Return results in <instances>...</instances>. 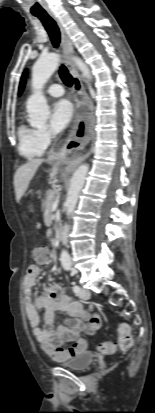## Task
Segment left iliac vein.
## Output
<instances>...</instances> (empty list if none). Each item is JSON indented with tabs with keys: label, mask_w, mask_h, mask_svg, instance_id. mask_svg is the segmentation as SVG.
Instances as JSON below:
<instances>
[{
	"label": "left iliac vein",
	"mask_w": 155,
	"mask_h": 413,
	"mask_svg": "<svg viewBox=\"0 0 155 413\" xmlns=\"http://www.w3.org/2000/svg\"><path fill=\"white\" fill-rule=\"evenodd\" d=\"M81 299L87 300L90 297V292L86 288H81L80 292L77 294Z\"/></svg>",
	"instance_id": "1"
}]
</instances>
